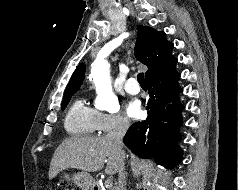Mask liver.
<instances>
[{
  "instance_id": "obj_1",
  "label": "liver",
  "mask_w": 238,
  "mask_h": 190,
  "mask_svg": "<svg viewBox=\"0 0 238 190\" xmlns=\"http://www.w3.org/2000/svg\"><path fill=\"white\" fill-rule=\"evenodd\" d=\"M120 158V151L107 136L70 137L55 150L48 176L51 180L68 168L85 173L97 172L103 169L105 163V173L113 175L119 171Z\"/></svg>"
}]
</instances>
